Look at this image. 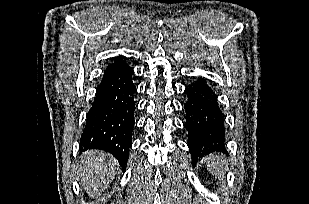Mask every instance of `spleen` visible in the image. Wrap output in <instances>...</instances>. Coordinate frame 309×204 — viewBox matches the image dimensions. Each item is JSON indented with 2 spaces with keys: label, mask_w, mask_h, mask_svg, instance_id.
<instances>
[{
  "label": "spleen",
  "mask_w": 309,
  "mask_h": 204,
  "mask_svg": "<svg viewBox=\"0 0 309 204\" xmlns=\"http://www.w3.org/2000/svg\"><path fill=\"white\" fill-rule=\"evenodd\" d=\"M207 168L212 174L217 176L220 180L225 177V171L228 169L226 160L221 155H210L204 159Z\"/></svg>",
  "instance_id": "obj_1"
}]
</instances>
